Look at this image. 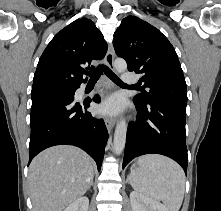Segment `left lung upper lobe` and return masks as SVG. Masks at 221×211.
Returning a JSON list of instances; mask_svg holds the SVG:
<instances>
[{"instance_id": "obj_1", "label": "left lung upper lobe", "mask_w": 221, "mask_h": 211, "mask_svg": "<svg viewBox=\"0 0 221 211\" xmlns=\"http://www.w3.org/2000/svg\"><path fill=\"white\" fill-rule=\"evenodd\" d=\"M113 45L128 70L142 74L143 94L134 97L141 105L158 101L187 103L186 82L175 49L154 26L136 16L122 20L114 33Z\"/></svg>"}]
</instances>
